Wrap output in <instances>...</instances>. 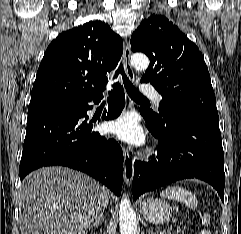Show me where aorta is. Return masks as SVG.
<instances>
[{
	"label": "aorta",
	"instance_id": "obj_1",
	"mask_svg": "<svg viewBox=\"0 0 241 234\" xmlns=\"http://www.w3.org/2000/svg\"><path fill=\"white\" fill-rule=\"evenodd\" d=\"M131 64L138 71H145L149 66V59L143 54H133ZM119 226L121 234H136L137 220L131 207L130 200L124 196L119 209Z\"/></svg>",
	"mask_w": 241,
	"mask_h": 234
}]
</instances>
